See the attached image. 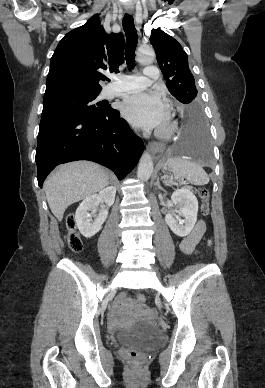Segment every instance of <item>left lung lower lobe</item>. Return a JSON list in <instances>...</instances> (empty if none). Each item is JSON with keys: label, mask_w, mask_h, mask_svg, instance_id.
<instances>
[{"label": "left lung lower lobe", "mask_w": 265, "mask_h": 388, "mask_svg": "<svg viewBox=\"0 0 265 388\" xmlns=\"http://www.w3.org/2000/svg\"><path fill=\"white\" fill-rule=\"evenodd\" d=\"M170 153L202 163L211 160L209 131L201 109L185 110L181 136Z\"/></svg>", "instance_id": "obj_1"}]
</instances>
